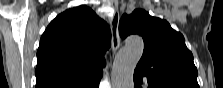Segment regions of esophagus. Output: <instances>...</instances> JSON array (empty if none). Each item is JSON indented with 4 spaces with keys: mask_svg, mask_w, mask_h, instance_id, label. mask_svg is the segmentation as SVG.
Here are the masks:
<instances>
[{
    "mask_svg": "<svg viewBox=\"0 0 223 88\" xmlns=\"http://www.w3.org/2000/svg\"><path fill=\"white\" fill-rule=\"evenodd\" d=\"M110 8L109 22L112 33V50L116 52L120 47L118 1L111 0Z\"/></svg>",
    "mask_w": 223,
    "mask_h": 88,
    "instance_id": "esophagus-1",
    "label": "esophagus"
}]
</instances>
